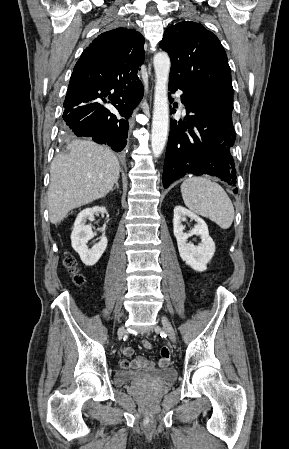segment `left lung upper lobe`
<instances>
[{
  "label": "left lung upper lobe",
  "instance_id": "5c2ea615",
  "mask_svg": "<svg viewBox=\"0 0 289 449\" xmlns=\"http://www.w3.org/2000/svg\"><path fill=\"white\" fill-rule=\"evenodd\" d=\"M160 47L171 59L170 80L193 87L212 109L232 115L231 70L216 35L200 23L182 21L165 31Z\"/></svg>",
  "mask_w": 289,
  "mask_h": 449
}]
</instances>
